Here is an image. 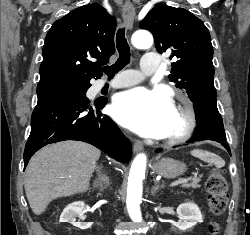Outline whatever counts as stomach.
I'll list each match as a JSON object with an SVG mask.
<instances>
[{
  "instance_id": "stomach-1",
  "label": "stomach",
  "mask_w": 250,
  "mask_h": 235,
  "mask_svg": "<svg viewBox=\"0 0 250 235\" xmlns=\"http://www.w3.org/2000/svg\"><path fill=\"white\" fill-rule=\"evenodd\" d=\"M154 170L166 178H175L185 172L186 165L172 158H163L154 165Z\"/></svg>"
}]
</instances>
